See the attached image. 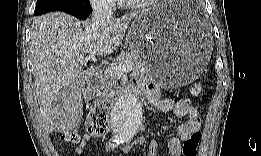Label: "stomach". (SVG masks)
I'll use <instances>...</instances> for the list:
<instances>
[{
    "mask_svg": "<svg viewBox=\"0 0 261 156\" xmlns=\"http://www.w3.org/2000/svg\"><path fill=\"white\" fill-rule=\"evenodd\" d=\"M193 3L159 2L134 19L129 40L161 84L178 87L195 80L207 65L211 40L187 17Z\"/></svg>",
    "mask_w": 261,
    "mask_h": 156,
    "instance_id": "stomach-1",
    "label": "stomach"
}]
</instances>
